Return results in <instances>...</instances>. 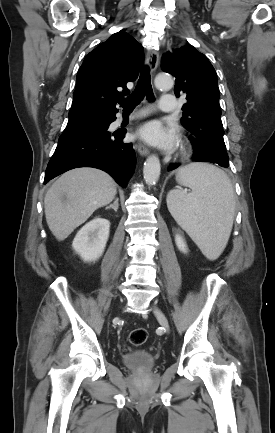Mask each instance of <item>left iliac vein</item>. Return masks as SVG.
I'll list each match as a JSON object with an SVG mask.
<instances>
[{"mask_svg": "<svg viewBox=\"0 0 275 433\" xmlns=\"http://www.w3.org/2000/svg\"><path fill=\"white\" fill-rule=\"evenodd\" d=\"M154 314L157 317L160 325L168 332L169 331V324H168V320L165 317L164 313L158 307H154Z\"/></svg>", "mask_w": 275, "mask_h": 433, "instance_id": "obj_1", "label": "left iliac vein"}]
</instances>
